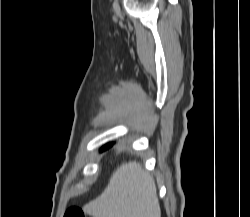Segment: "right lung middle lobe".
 Returning <instances> with one entry per match:
<instances>
[{"instance_id": "1", "label": "right lung middle lobe", "mask_w": 250, "mask_h": 217, "mask_svg": "<svg viewBox=\"0 0 250 217\" xmlns=\"http://www.w3.org/2000/svg\"><path fill=\"white\" fill-rule=\"evenodd\" d=\"M110 146H112V143H110V144L104 146V147L101 149V151L106 150V149L109 148Z\"/></svg>"}]
</instances>
